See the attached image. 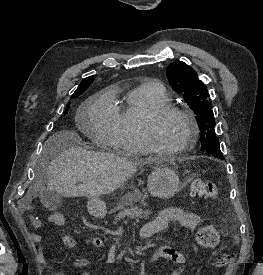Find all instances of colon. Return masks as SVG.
<instances>
[{
  "mask_svg": "<svg viewBox=\"0 0 263 275\" xmlns=\"http://www.w3.org/2000/svg\"><path fill=\"white\" fill-rule=\"evenodd\" d=\"M190 191L191 195L196 198L216 199L218 196V190L215 183L207 179H195L191 184ZM52 221L56 224L60 223L62 221L61 215H53ZM219 240L220 236L218 231L211 226L204 227L197 233V242L204 248L217 245ZM230 260V256L223 255L213 262V266L222 268L226 266Z\"/></svg>",
  "mask_w": 263,
  "mask_h": 275,
  "instance_id": "colon-1",
  "label": "colon"
}]
</instances>
